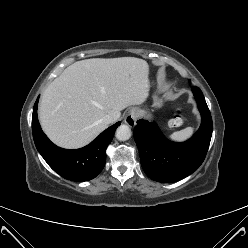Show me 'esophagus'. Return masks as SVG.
I'll return each instance as SVG.
<instances>
[{
  "label": "esophagus",
  "mask_w": 248,
  "mask_h": 248,
  "mask_svg": "<svg viewBox=\"0 0 248 248\" xmlns=\"http://www.w3.org/2000/svg\"><path fill=\"white\" fill-rule=\"evenodd\" d=\"M138 117L139 111L135 108H132L127 112L124 121L128 126L134 127L136 125Z\"/></svg>",
  "instance_id": "34e87169"
}]
</instances>
